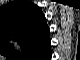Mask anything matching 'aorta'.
<instances>
[{"label": "aorta", "mask_w": 80, "mask_h": 60, "mask_svg": "<svg viewBox=\"0 0 80 60\" xmlns=\"http://www.w3.org/2000/svg\"><path fill=\"white\" fill-rule=\"evenodd\" d=\"M11 42H12V41H11ZM13 44H14V47H15L17 50L20 49V47H19V45L17 44V42H13Z\"/></svg>", "instance_id": "aorta-1"}]
</instances>
